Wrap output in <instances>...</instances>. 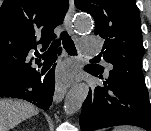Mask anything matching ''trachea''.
<instances>
[{"label":"trachea","instance_id":"trachea-1","mask_svg":"<svg viewBox=\"0 0 151 131\" xmlns=\"http://www.w3.org/2000/svg\"><path fill=\"white\" fill-rule=\"evenodd\" d=\"M60 40H62V44L69 55L76 54L77 51L73 40L66 31H63L60 35V39L52 43L50 48L44 54L41 55L39 53H36L35 56H37L38 58H42L44 62L55 61L57 58L56 50L61 43Z\"/></svg>","mask_w":151,"mask_h":131}]
</instances>
